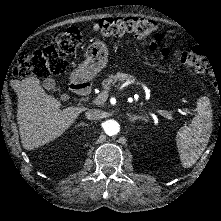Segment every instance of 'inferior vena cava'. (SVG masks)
Returning a JSON list of instances; mask_svg holds the SVG:
<instances>
[{
  "label": "inferior vena cava",
  "instance_id": "602c4592",
  "mask_svg": "<svg viewBox=\"0 0 221 221\" xmlns=\"http://www.w3.org/2000/svg\"><path fill=\"white\" fill-rule=\"evenodd\" d=\"M85 117L88 120H101L105 117V113L100 109H89L85 111Z\"/></svg>",
  "mask_w": 221,
  "mask_h": 221
}]
</instances>
